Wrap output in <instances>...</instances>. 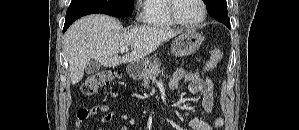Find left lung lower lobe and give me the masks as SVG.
Masks as SVG:
<instances>
[{
	"label": "left lung lower lobe",
	"instance_id": "0a47b994",
	"mask_svg": "<svg viewBox=\"0 0 299 130\" xmlns=\"http://www.w3.org/2000/svg\"><path fill=\"white\" fill-rule=\"evenodd\" d=\"M222 22H223L229 29H231L229 21H222Z\"/></svg>",
	"mask_w": 299,
	"mask_h": 130
}]
</instances>
